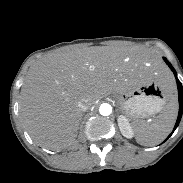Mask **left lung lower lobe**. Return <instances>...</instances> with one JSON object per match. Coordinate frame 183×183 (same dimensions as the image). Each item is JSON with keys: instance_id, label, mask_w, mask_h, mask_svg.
Listing matches in <instances>:
<instances>
[{"instance_id": "left-lung-lower-lobe-1", "label": "left lung lower lobe", "mask_w": 183, "mask_h": 183, "mask_svg": "<svg viewBox=\"0 0 183 183\" xmlns=\"http://www.w3.org/2000/svg\"><path fill=\"white\" fill-rule=\"evenodd\" d=\"M163 59L167 63V65L170 67V69L173 71V73L176 77V82H177V87H178L179 114H178V118H177L176 124L174 126V129L172 131V133H173L175 131V129L178 127L180 120H181V117H182V114H183V90H182V84L177 78V73H176L175 69L172 67V65L168 62V60L165 57ZM172 133L168 136V138L172 135Z\"/></svg>"}]
</instances>
